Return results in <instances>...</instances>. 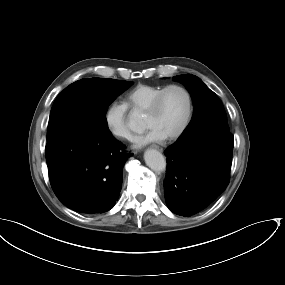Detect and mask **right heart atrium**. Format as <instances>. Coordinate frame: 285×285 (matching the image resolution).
<instances>
[{
  "label": "right heart atrium",
  "mask_w": 285,
  "mask_h": 285,
  "mask_svg": "<svg viewBox=\"0 0 285 285\" xmlns=\"http://www.w3.org/2000/svg\"><path fill=\"white\" fill-rule=\"evenodd\" d=\"M104 123L107 130L120 140L132 138V132L127 122L126 108L118 103L109 104L104 111Z\"/></svg>",
  "instance_id": "obj_1"
}]
</instances>
